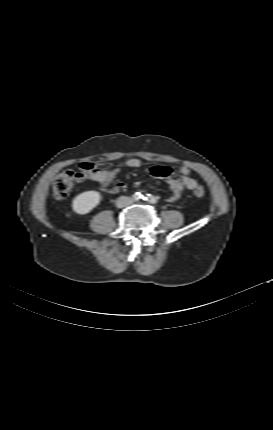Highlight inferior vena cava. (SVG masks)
<instances>
[{
  "label": "inferior vena cava",
  "instance_id": "602c4592",
  "mask_svg": "<svg viewBox=\"0 0 273 430\" xmlns=\"http://www.w3.org/2000/svg\"><path fill=\"white\" fill-rule=\"evenodd\" d=\"M133 203L130 197L121 196L118 200V206H127Z\"/></svg>",
  "mask_w": 273,
  "mask_h": 430
}]
</instances>
